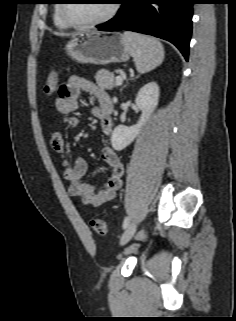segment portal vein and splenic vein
<instances>
[{"label": "portal vein and splenic vein", "mask_w": 236, "mask_h": 321, "mask_svg": "<svg viewBox=\"0 0 236 321\" xmlns=\"http://www.w3.org/2000/svg\"><path fill=\"white\" fill-rule=\"evenodd\" d=\"M123 79H124V77H122V76H117V77H116V85H117V86L122 85Z\"/></svg>", "instance_id": "1"}]
</instances>
